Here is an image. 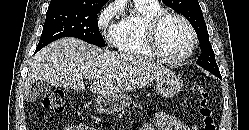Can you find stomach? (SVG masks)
<instances>
[{
  "label": "stomach",
  "instance_id": "obj_1",
  "mask_svg": "<svg viewBox=\"0 0 249 130\" xmlns=\"http://www.w3.org/2000/svg\"><path fill=\"white\" fill-rule=\"evenodd\" d=\"M156 84L157 93L165 98L177 95L183 86L180 78L173 73L161 76L156 80ZM131 102V97L125 94L101 95L95 99V106L99 112L113 114L124 110Z\"/></svg>",
  "mask_w": 249,
  "mask_h": 130
}]
</instances>
